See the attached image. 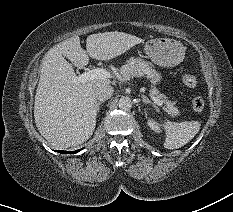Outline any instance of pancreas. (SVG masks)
<instances>
[{"instance_id": "cf45deb5", "label": "pancreas", "mask_w": 233, "mask_h": 212, "mask_svg": "<svg viewBox=\"0 0 233 212\" xmlns=\"http://www.w3.org/2000/svg\"><path fill=\"white\" fill-rule=\"evenodd\" d=\"M155 72L152 64L144 61L140 58L134 59L130 58L125 65L120 68V74L122 78L129 79L136 76H151ZM153 95H157L159 99H162V103L164 104L163 109L171 116L175 117L179 115V110L174 104L166 100L164 95L159 94L158 90H152Z\"/></svg>"}]
</instances>
